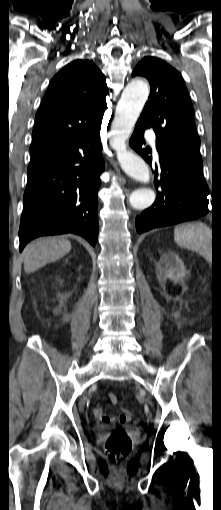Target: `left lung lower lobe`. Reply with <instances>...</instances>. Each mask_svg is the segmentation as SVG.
Returning <instances> with one entry per match:
<instances>
[{
	"label": "left lung lower lobe",
	"instance_id": "obj_1",
	"mask_svg": "<svg viewBox=\"0 0 221 510\" xmlns=\"http://www.w3.org/2000/svg\"><path fill=\"white\" fill-rule=\"evenodd\" d=\"M148 126L137 121L130 146L147 163L152 164L151 148L146 147L143 139ZM160 169L156 165L155 187L158 190L154 204L136 217L138 233L148 230L194 220L209 212V188L204 180L202 161L196 160L156 139Z\"/></svg>",
	"mask_w": 221,
	"mask_h": 510
}]
</instances>
